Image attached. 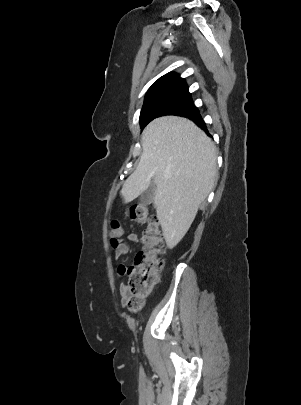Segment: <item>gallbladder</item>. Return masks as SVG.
<instances>
[{
    "instance_id": "bac80fb5",
    "label": "gallbladder",
    "mask_w": 301,
    "mask_h": 405,
    "mask_svg": "<svg viewBox=\"0 0 301 405\" xmlns=\"http://www.w3.org/2000/svg\"><path fill=\"white\" fill-rule=\"evenodd\" d=\"M156 186L154 182L140 195V203L143 206L151 204L155 197Z\"/></svg>"
}]
</instances>
